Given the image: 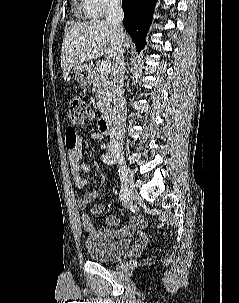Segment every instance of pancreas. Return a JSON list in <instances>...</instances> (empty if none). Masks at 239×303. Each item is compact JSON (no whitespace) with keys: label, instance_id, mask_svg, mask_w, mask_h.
Wrapping results in <instances>:
<instances>
[{"label":"pancreas","instance_id":"obj_1","mask_svg":"<svg viewBox=\"0 0 239 303\" xmlns=\"http://www.w3.org/2000/svg\"><path fill=\"white\" fill-rule=\"evenodd\" d=\"M91 76L94 90L97 93V106L102 113L106 114L111 109L112 101V84L110 77L108 73L101 71L100 66H96L94 69H92Z\"/></svg>","mask_w":239,"mask_h":303}]
</instances>
